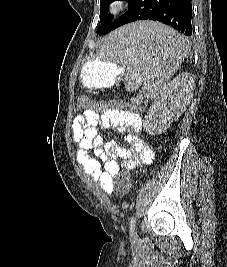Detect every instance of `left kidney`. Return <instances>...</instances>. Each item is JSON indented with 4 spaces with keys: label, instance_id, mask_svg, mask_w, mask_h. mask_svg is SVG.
Instances as JSON below:
<instances>
[{
    "label": "left kidney",
    "instance_id": "obj_1",
    "mask_svg": "<svg viewBox=\"0 0 227 267\" xmlns=\"http://www.w3.org/2000/svg\"><path fill=\"white\" fill-rule=\"evenodd\" d=\"M195 79L191 73L177 75L151 105L143 120L145 131L158 135L186 110L193 97Z\"/></svg>",
    "mask_w": 227,
    "mask_h": 267
}]
</instances>
